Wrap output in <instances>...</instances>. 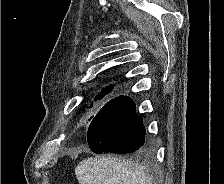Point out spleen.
I'll use <instances>...</instances> for the list:
<instances>
[{
	"mask_svg": "<svg viewBox=\"0 0 224 184\" xmlns=\"http://www.w3.org/2000/svg\"><path fill=\"white\" fill-rule=\"evenodd\" d=\"M75 174L80 184H152L144 166L111 156L84 159Z\"/></svg>",
	"mask_w": 224,
	"mask_h": 184,
	"instance_id": "obj_1",
	"label": "spleen"
}]
</instances>
